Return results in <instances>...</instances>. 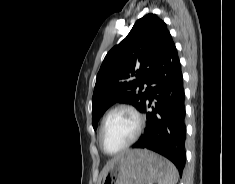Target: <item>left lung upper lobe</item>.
<instances>
[{
  "label": "left lung upper lobe",
  "mask_w": 235,
  "mask_h": 184,
  "mask_svg": "<svg viewBox=\"0 0 235 184\" xmlns=\"http://www.w3.org/2000/svg\"><path fill=\"white\" fill-rule=\"evenodd\" d=\"M170 35L157 15L137 20L127 37L106 55L97 74L92 97V125L115 102L128 103L141 111L160 50Z\"/></svg>",
  "instance_id": "5c2ea615"
}]
</instances>
